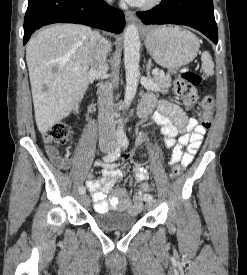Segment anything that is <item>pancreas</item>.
<instances>
[{
    "label": "pancreas",
    "mask_w": 247,
    "mask_h": 275,
    "mask_svg": "<svg viewBox=\"0 0 247 275\" xmlns=\"http://www.w3.org/2000/svg\"><path fill=\"white\" fill-rule=\"evenodd\" d=\"M153 80L156 83V85L163 90H167L171 85L170 75H157L154 76Z\"/></svg>",
    "instance_id": "pancreas-1"
}]
</instances>
